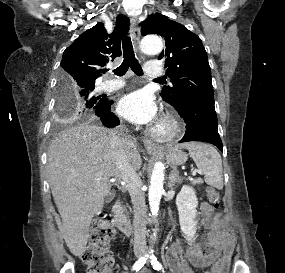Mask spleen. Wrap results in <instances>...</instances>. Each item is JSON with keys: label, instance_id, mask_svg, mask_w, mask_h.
I'll return each mask as SVG.
<instances>
[{"label": "spleen", "instance_id": "3e777b00", "mask_svg": "<svg viewBox=\"0 0 285 273\" xmlns=\"http://www.w3.org/2000/svg\"><path fill=\"white\" fill-rule=\"evenodd\" d=\"M178 147L190 152L197 168L204 173V180L208 185L217 189L223 188L222 160L214 147L200 142H189Z\"/></svg>", "mask_w": 285, "mask_h": 273}]
</instances>
